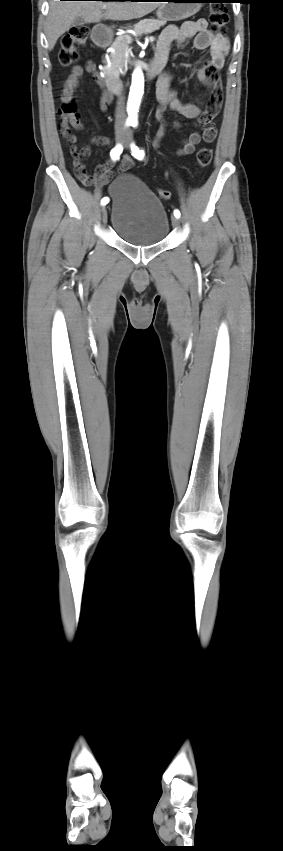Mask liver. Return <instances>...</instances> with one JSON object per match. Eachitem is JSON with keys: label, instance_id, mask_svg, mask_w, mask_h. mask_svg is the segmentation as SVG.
Segmentation results:
<instances>
[{"label": "liver", "instance_id": "obj_1", "mask_svg": "<svg viewBox=\"0 0 283 851\" xmlns=\"http://www.w3.org/2000/svg\"><path fill=\"white\" fill-rule=\"evenodd\" d=\"M162 4V2L51 0L45 22L48 47L50 50L54 48L58 38L71 28L77 17L89 23H98L102 19L131 20L151 13ZM102 9H105L104 13Z\"/></svg>", "mask_w": 283, "mask_h": 851}]
</instances>
